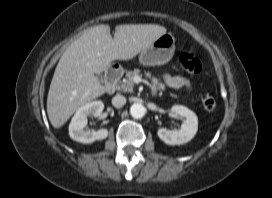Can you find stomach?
<instances>
[{
	"mask_svg": "<svg viewBox=\"0 0 272 198\" xmlns=\"http://www.w3.org/2000/svg\"><path fill=\"white\" fill-rule=\"evenodd\" d=\"M174 51V36L170 33L164 34L140 53L139 61L144 66L164 65L171 60Z\"/></svg>",
	"mask_w": 272,
	"mask_h": 198,
	"instance_id": "0dacf381",
	"label": "stomach"
}]
</instances>
